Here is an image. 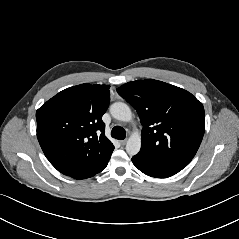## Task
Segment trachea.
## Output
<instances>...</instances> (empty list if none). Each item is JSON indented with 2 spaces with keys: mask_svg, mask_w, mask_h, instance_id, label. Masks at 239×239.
<instances>
[{
  "mask_svg": "<svg viewBox=\"0 0 239 239\" xmlns=\"http://www.w3.org/2000/svg\"><path fill=\"white\" fill-rule=\"evenodd\" d=\"M111 136L115 139L123 140L126 137V131L120 126H115L111 131Z\"/></svg>",
  "mask_w": 239,
  "mask_h": 239,
  "instance_id": "3493384b",
  "label": "trachea"
}]
</instances>
